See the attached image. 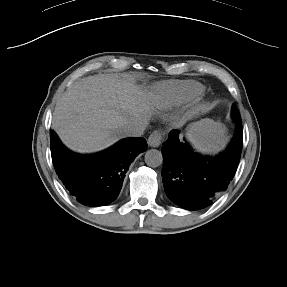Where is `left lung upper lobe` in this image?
I'll return each instance as SVG.
<instances>
[{
    "label": "left lung upper lobe",
    "mask_w": 287,
    "mask_h": 287,
    "mask_svg": "<svg viewBox=\"0 0 287 287\" xmlns=\"http://www.w3.org/2000/svg\"><path fill=\"white\" fill-rule=\"evenodd\" d=\"M232 116H233L234 119L240 118L239 111H238V109H237L235 104L232 106Z\"/></svg>",
    "instance_id": "5c2ea615"
}]
</instances>
